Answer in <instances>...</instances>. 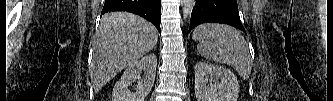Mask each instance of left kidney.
I'll return each instance as SVG.
<instances>
[{
    "mask_svg": "<svg viewBox=\"0 0 333 101\" xmlns=\"http://www.w3.org/2000/svg\"><path fill=\"white\" fill-rule=\"evenodd\" d=\"M209 76L216 82L206 85ZM239 83L234 73L222 66L198 62L195 65V96L198 101H237Z\"/></svg>",
    "mask_w": 333,
    "mask_h": 101,
    "instance_id": "left-kidney-1",
    "label": "left kidney"
}]
</instances>
